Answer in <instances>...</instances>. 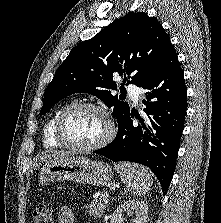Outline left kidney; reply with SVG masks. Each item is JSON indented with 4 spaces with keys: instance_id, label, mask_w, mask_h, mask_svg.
Wrapping results in <instances>:
<instances>
[{
    "instance_id": "left-kidney-1",
    "label": "left kidney",
    "mask_w": 221,
    "mask_h": 223,
    "mask_svg": "<svg viewBox=\"0 0 221 223\" xmlns=\"http://www.w3.org/2000/svg\"><path fill=\"white\" fill-rule=\"evenodd\" d=\"M131 211H135L136 216L131 223H147L148 204L135 200H128L119 205L111 216V223H123V213Z\"/></svg>"
}]
</instances>
